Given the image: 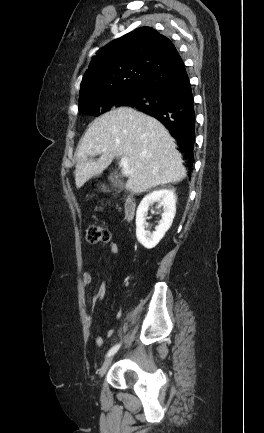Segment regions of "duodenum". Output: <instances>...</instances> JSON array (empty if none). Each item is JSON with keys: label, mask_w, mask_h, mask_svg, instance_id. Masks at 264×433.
Returning a JSON list of instances; mask_svg holds the SVG:
<instances>
[{"label": "duodenum", "mask_w": 264, "mask_h": 433, "mask_svg": "<svg viewBox=\"0 0 264 433\" xmlns=\"http://www.w3.org/2000/svg\"><path fill=\"white\" fill-rule=\"evenodd\" d=\"M136 202L133 198L128 197L124 202V215L126 220H131L135 214Z\"/></svg>", "instance_id": "1"}]
</instances>
